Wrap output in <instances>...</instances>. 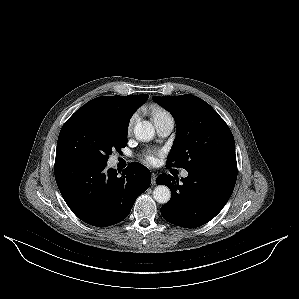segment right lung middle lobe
<instances>
[{
  "mask_svg": "<svg viewBox=\"0 0 299 299\" xmlns=\"http://www.w3.org/2000/svg\"><path fill=\"white\" fill-rule=\"evenodd\" d=\"M129 121L98 111H76L63 125L56 156L107 163L113 150L127 145Z\"/></svg>",
  "mask_w": 299,
  "mask_h": 299,
  "instance_id": "right-lung-middle-lobe-1",
  "label": "right lung middle lobe"
}]
</instances>
